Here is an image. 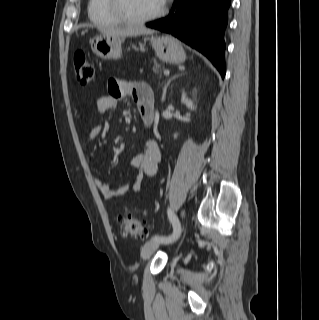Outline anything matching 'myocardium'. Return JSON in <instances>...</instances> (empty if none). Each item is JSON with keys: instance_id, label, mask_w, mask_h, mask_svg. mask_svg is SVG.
Masks as SVG:
<instances>
[{"instance_id": "myocardium-1", "label": "myocardium", "mask_w": 319, "mask_h": 320, "mask_svg": "<svg viewBox=\"0 0 319 320\" xmlns=\"http://www.w3.org/2000/svg\"><path fill=\"white\" fill-rule=\"evenodd\" d=\"M107 7L116 19L126 24L148 23L161 18L166 12L165 1H162L161 7L155 13L145 17H134L130 15L124 7V0H107Z\"/></svg>"}]
</instances>
